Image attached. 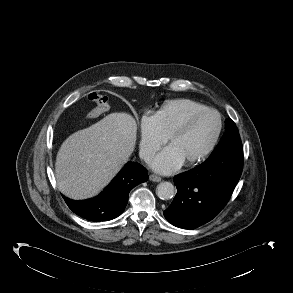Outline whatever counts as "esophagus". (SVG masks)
<instances>
[{"label": "esophagus", "mask_w": 293, "mask_h": 293, "mask_svg": "<svg viewBox=\"0 0 293 293\" xmlns=\"http://www.w3.org/2000/svg\"><path fill=\"white\" fill-rule=\"evenodd\" d=\"M149 179L151 180V181H153V182H161V180H162V178L161 177H159V176H157V175H154V174H151L150 176H149Z\"/></svg>", "instance_id": "1"}]
</instances>
